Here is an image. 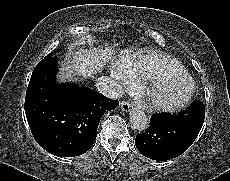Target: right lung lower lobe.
Wrapping results in <instances>:
<instances>
[{
    "label": "right lung lower lobe",
    "mask_w": 230,
    "mask_h": 181,
    "mask_svg": "<svg viewBox=\"0 0 230 181\" xmlns=\"http://www.w3.org/2000/svg\"><path fill=\"white\" fill-rule=\"evenodd\" d=\"M58 57H45L34 69L25 98L31 132L47 152L73 157L94 143L99 122L119 102L90 88L56 85Z\"/></svg>",
    "instance_id": "obj_1"
}]
</instances>
